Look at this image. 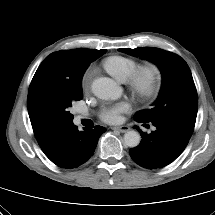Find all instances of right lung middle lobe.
Masks as SVG:
<instances>
[{
  "instance_id": "obj_1",
  "label": "right lung middle lobe",
  "mask_w": 215,
  "mask_h": 215,
  "mask_svg": "<svg viewBox=\"0 0 215 215\" xmlns=\"http://www.w3.org/2000/svg\"><path fill=\"white\" fill-rule=\"evenodd\" d=\"M106 52L87 56L77 54L49 55L38 67L29 87L27 107L31 120L62 129L73 125L70 107L83 97L81 78L89 64Z\"/></svg>"
}]
</instances>
